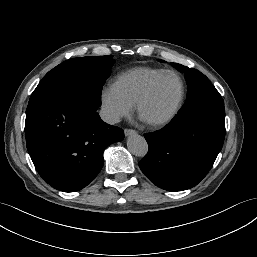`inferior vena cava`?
Listing matches in <instances>:
<instances>
[{
  "instance_id": "inferior-vena-cava-1",
  "label": "inferior vena cava",
  "mask_w": 257,
  "mask_h": 257,
  "mask_svg": "<svg viewBox=\"0 0 257 257\" xmlns=\"http://www.w3.org/2000/svg\"><path fill=\"white\" fill-rule=\"evenodd\" d=\"M99 114L101 119L108 124H116L120 121V115L108 108H102Z\"/></svg>"
}]
</instances>
